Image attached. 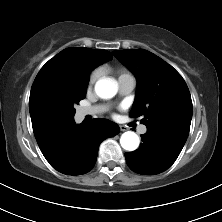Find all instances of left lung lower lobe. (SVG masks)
<instances>
[{"mask_svg": "<svg viewBox=\"0 0 222 222\" xmlns=\"http://www.w3.org/2000/svg\"><path fill=\"white\" fill-rule=\"evenodd\" d=\"M188 137L178 124L147 128L139 149L125 153L129 168L139 174L155 175L167 170L177 159Z\"/></svg>", "mask_w": 222, "mask_h": 222, "instance_id": "left-lung-lower-lobe-1", "label": "left lung lower lobe"}]
</instances>
